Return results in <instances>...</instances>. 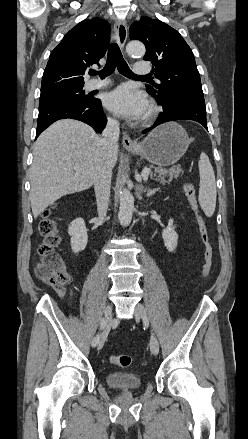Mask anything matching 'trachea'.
Here are the masks:
<instances>
[{"mask_svg":"<svg viewBox=\"0 0 248 439\" xmlns=\"http://www.w3.org/2000/svg\"><path fill=\"white\" fill-rule=\"evenodd\" d=\"M117 68L119 73L126 77H148V76H137L135 75L123 59L121 50L117 43H112L109 47L107 54V61L104 68L98 72L100 78H105L113 73V71ZM90 75L94 76L97 74L96 71H90Z\"/></svg>","mask_w":248,"mask_h":439,"instance_id":"1","label":"trachea"}]
</instances>
